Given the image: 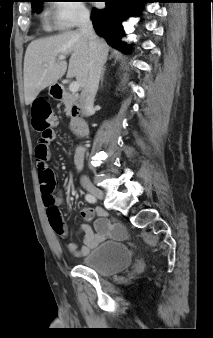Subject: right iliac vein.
<instances>
[{"mask_svg": "<svg viewBox=\"0 0 213 338\" xmlns=\"http://www.w3.org/2000/svg\"><path fill=\"white\" fill-rule=\"evenodd\" d=\"M85 188L90 194L97 197L98 199H102L104 197V193L92 184H86Z\"/></svg>", "mask_w": 213, "mask_h": 338, "instance_id": "obj_1", "label": "right iliac vein"}]
</instances>
